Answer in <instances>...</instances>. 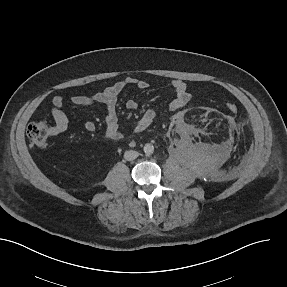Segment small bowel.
<instances>
[{"label": "small bowel", "mask_w": 287, "mask_h": 287, "mask_svg": "<svg viewBox=\"0 0 287 287\" xmlns=\"http://www.w3.org/2000/svg\"><path fill=\"white\" fill-rule=\"evenodd\" d=\"M171 88L174 92V98L168 105L169 111L178 110L187 105L191 99V94L187 90L185 82L180 79L171 81ZM128 86H135L139 89H146L149 85L146 81L133 77H126L112 85L94 92L89 95H75L70 98V103L75 106H93L104 105L106 108L105 117V137L111 141H119L123 138V133L120 129L119 118L117 114V98L118 95ZM64 99L61 96H55L52 99L51 114L55 122L54 131L61 133L66 130L69 120L64 112ZM126 108L136 110L138 103L134 99H129L126 102ZM156 111L149 109L132 125L134 133H140L147 130L156 119ZM85 128L88 131H94L96 125L92 121L85 123Z\"/></svg>", "instance_id": "1"}]
</instances>
